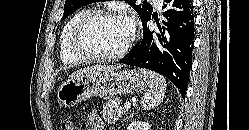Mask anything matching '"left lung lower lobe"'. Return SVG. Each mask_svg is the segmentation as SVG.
I'll list each match as a JSON object with an SVG mask.
<instances>
[{"label": "left lung lower lobe", "instance_id": "left-lung-lower-lobe-1", "mask_svg": "<svg viewBox=\"0 0 249 130\" xmlns=\"http://www.w3.org/2000/svg\"><path fill=\"white\" fill-rule=\"evenodd\" d=\"M163 8H167L163 25L157 22V32L147 28V22L154 16L151 12L142 21V41L119 62L165 76L185 98L192 65L194 6L191 0H165Z\"/></svg>", "mask_w": 249, "mask_h": 130}]
</instances>
